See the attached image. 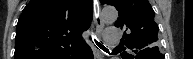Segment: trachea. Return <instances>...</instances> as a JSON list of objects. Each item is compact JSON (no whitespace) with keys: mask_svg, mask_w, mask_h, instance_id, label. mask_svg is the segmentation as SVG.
Returning a JSON list of instances; mask_svg holds the SVG:
<instances>
[{"mask_svg":"<svg viewBox=\"0 0 193 59\" xmlns=\"http://www.w3.org/2000/svg\"><path fill=\"white\" fill-rule=\"evenodd\" d=\"M95 43L97 44V46L100 48V49H102V50H104V51H108V49L102 44V43H100V42H98L97 40H95ZM118 48L116 47V48H114L113 50H117Z\"/></svg>","mask_w":193,"mask_h":59,"instance_id":"obj_1","label":"trachea"}]
</instances>
